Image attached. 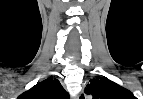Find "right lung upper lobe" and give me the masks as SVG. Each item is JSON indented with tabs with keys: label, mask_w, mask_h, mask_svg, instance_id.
<instances>
[{
	"label": "right lung upper lobe",
	"mask_w": 143,
	"mask_h": 99,
	"mask_svg": "<svg viewBox=\"0 0 143 99\" xmlns=\"http://www.w3.org/2000/svg\"><path fill=\"white\" fill-rule=\"evenodd\" d=\"M69 95L57 79L48 78L37 83L18 99H68Z\"/></svg>",
	"instance_id": "cb5924a9"
}]
</instances>
